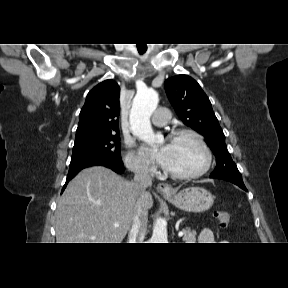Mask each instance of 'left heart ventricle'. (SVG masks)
<instances>
[{
	"label": "left heart ventricle",
	"mask_w": 288,
	"mask_h": 288,
	"mask_svg": "<svg viewBox=\"0 0 288 288\" xmlns=\"http://www.w3.org/2000/svg\"><path fill=\"white\" fill-rule=\"evenodd\" d=\"M169 153L164 167L180 173L199 170L205 162L200 146L191 137H181L170 140L167 144Z\"/></svg>",
	"instance_id": "b2bd125f"
}]
</instances>
